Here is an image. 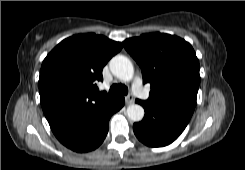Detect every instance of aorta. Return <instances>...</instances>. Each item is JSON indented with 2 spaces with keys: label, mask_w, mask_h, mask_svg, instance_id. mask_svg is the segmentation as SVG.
Wrapping results in <instances>:
<instances>
[{
  "label": "aorta",
  "mask_w": 245,
  "mask_h": 170,
  "mask_svg": "<svg viewBox=\"0 0 245 170\" xmlns=\"http://www.w3.org/2000/svg\"><path fill=\"white\" fill-rule=\"evenodd\" d=\"M112 74L121 81L128 82L132 80L134 68L131 61L123 56L116 55L110 60L109 64ZM127 116L134 122L141 121L144 117V109L141 105L131 104L127 107Z\"/></svg>",
  "instance_id": "obj_1"
}]
</instances>
